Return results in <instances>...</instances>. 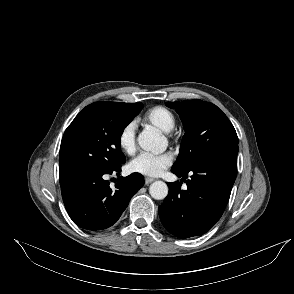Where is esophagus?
Instances as JSON below:
<instances>
[{"mask_svg": "<svg viewBox=\"0 0 294 294\" xmlns=\"http://www.w3.org/2000/svg\"><path fill=\"white\" fill-rule=\"evenodd\" d=\"M155 179L154 178H150V177H146L145 178V184L149 185L150 183H152Z\"/></svg>", "mask_w": 294, "mask_h": 294, "instance_id": "obj_1", "label": "esophagus"}]
</instances>
